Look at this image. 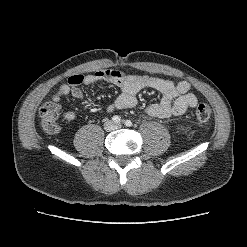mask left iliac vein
Instances as JSON below:
<instances>
[{"instance_id":"1","label":"left iliac vein","mask_w":247,"mask_h":247,"mask_svg":"<svg viewBox=\"0 0 247 247\" xmlns=\"http://www.w3.org/2000/svg\"><path fill=\"white\" fill-rule=\"evenodd\" d=\"M121 127V124H116L115 125V128H120Z\"/></svg>"}]
</instances>
